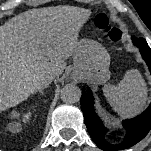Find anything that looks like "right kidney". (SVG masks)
Masks as SVG:
<instances>
[{"mask_svg":"<svg viewBox=\"0 0 151 151\" xmlns=\"http://www.w3.org/2000/svg\"><path fill=\"white\" fill-rule=\"evenodd\" d=\"M13 117H19V113H17V112H13ZM17 126L18 125H16V123L14 124V122L10 125V131L11 132H13V133H16L17 131H18V129H17Z\"/></svg>","mask_w":151,"mask_h":151,"instance_id":"right-kidney-1","label":"right kidney"}]
</instances>
